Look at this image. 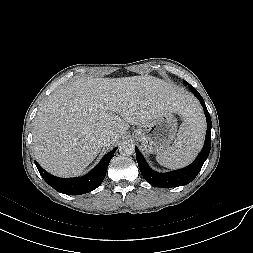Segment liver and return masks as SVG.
<instances>
[{
  "label": "liver",
  "mask_w": 253,
  "mask_h": 253,
  "mask_svg": "<svg viewBox=\"0 0 253 253\" xmlns=\"http://www.w3.org/2000/svg\"><path fill=\"white\" fill-rule=\"evenodd\" d=\"M189 96L153 76L79 78L57 89L34 122V155L49 173L77 176L102 147L119 140L129 125H143L163 113L184 116ZM110 133L102 145L99 137Z\"/></svg>",
  "instance_id": "1"
}]
</instances>
